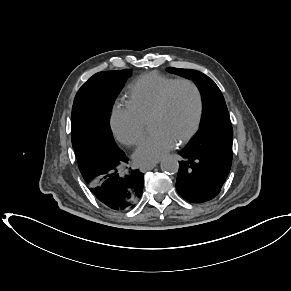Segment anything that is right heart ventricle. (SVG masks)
Masks as SVG:
<instances>
[{"label":"right heart ventricle","instance_id":"obj_1","mask_svg":"<svg viewBox=\"0 0 291 291\" xmlns=\"http://www.w3.org/2000/svg\"><path fill=\"white\" fill-rule=\"evenodd\" d=\"M176 79L151 72L140 76L131 85L127 105L144 121H148L164 90Z\"/></svg>","mask_w":291,"mask_h":291}]
</instances>
